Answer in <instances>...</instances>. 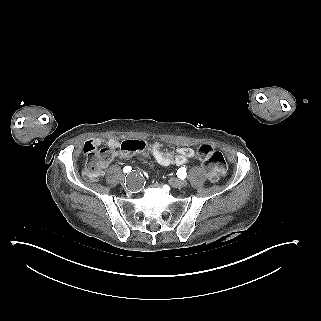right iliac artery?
Returning a JSON list of instances; mask_svg holds the SVG:
<instances>
[{
  "mask_svg": "<svg viewBox=\"0 0 321 321\" xmlns=\"http://www.w3.org/2000/svg\"><path fill=\"white\" fill-rule=\"evenodd\" d=\"M123 171H124V173H129L131 171V167L130 166H125Z\"/></svg>",
  "mask_w": 321,
  "mask_h": 321,
  "instance_id": "right-iliac-artery-1",
  "label": "right iliac artery"
}]
</instances>
